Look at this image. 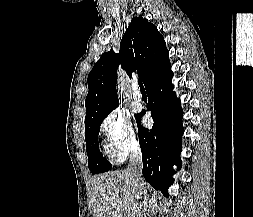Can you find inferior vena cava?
<instances>
[{"mask_svg":"<svg viewBox=\"0 0 253 217\" xmlns=\"http://www.w3.org/2000/svg\"><path fill=\"white\" fill-rule=\"evenodd\" d=\"M127 170L131 173L138 187L135 189V192L138 194V196L143 197V194H144L143 192H144L145 187L142 184V182H140V177L142 175V154H141L140 147L134 148L133 151L131 152ZM146 214H147V211L144 209L141 217H146Z\"/></svg>","mask_w":253,"mask_h":217,"instance_id":"1","label":"inferior vena cava"}]
</instances>
